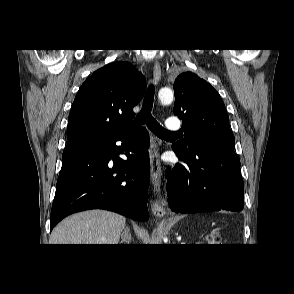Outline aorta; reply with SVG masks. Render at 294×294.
<instances>
[{"instance_id": "aorta-1", "label": "aorta", "mask_w": 294, "mask_h": 294, "mask_svg": "<svg viewBox=\"0 0 294 294\" xmlns=\"http://www.w3.org/2000/svg\"><path fill=\"white\" fill-rule=\"evenodd\" d=\"M159 100L162 104L168 105L171 104L174 98V93L169 88H162L158 93Z\"/></svg>"}]
</instances>
